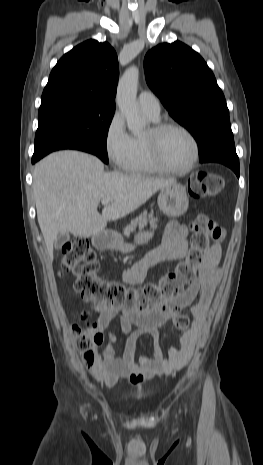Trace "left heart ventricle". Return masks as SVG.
<instances>
[{"label": "left heart ventricle", "mask_w": 263, "mask_h": 465, "mask_svg": "<svg viewBox=\"0 0 263 465\" xmlns=\"http://www.w3.org/2000/svg\"><path fill=\"white\" fill-rule=\"evenodd\" d=\"M161 153L173 167H185L193 158L194 148L189 137L180 130H167L161 137Z\"/></svg>", "instance_id": "1"}]
</instances>
